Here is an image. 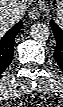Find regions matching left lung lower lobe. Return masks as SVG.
Listing matches in <instances>:
<instances>
[{"instance_id": "left-lung-lower-lobe-1", "label": "left lung lower lobe", "mask_w": 63, "mask_h": 107, "mask_svg": "<svg viewBox=\"0 0 63 107\" xmlns=\"http://www.w3.org/2000/svg\"><path fill=\"white\" fill-rule=\"evenodd\" d=\"M51 29L56 38V50L54 58L60 68L63 70V30L53 21L50 22Z\"/></svg>"}]
</instances>
